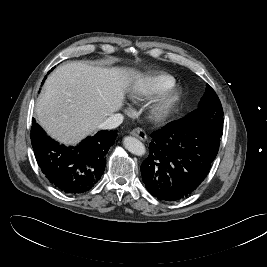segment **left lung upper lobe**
<instances>
[{
	"instance_id": "5c2ea615",
	"label": "left lung upper lobe",
	"mask_w": 267,
	"mask_h": 267,
	"mask_svg": "<svg viewBox=\"0 0 267 267\" xmlns=\"http://www.w3.org/2000/svg\"><path fill=\"white\" fill-rule=\"evenodd\" d=\"M187 117L206 121L216 130L223 131V109L218 96L208 84L198 109L189 113Z\"/></svg>"
}]
</instances>
